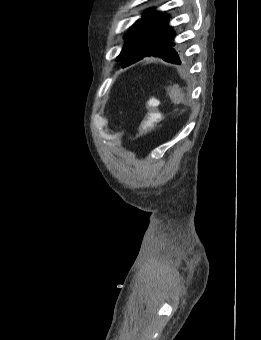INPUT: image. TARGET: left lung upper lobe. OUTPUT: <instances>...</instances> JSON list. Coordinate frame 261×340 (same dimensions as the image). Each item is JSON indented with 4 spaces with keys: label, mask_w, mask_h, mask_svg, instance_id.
Masks as SVG:
<instances>
[{
    "label": "left lung upper lobe",
    "mask_w": 261,
    "mask_h": 340,
    "mask_svg": "<svg viewBox=\"0 0 261 340\" xmlns=\"http://www.w3.org/2000/svg\"><path fill=\"white\" fill-rule=\"evenodd\" d=\"M167 22L161 12L152 11L143 15L125 35L126 44L117 60L122 61L123 65L165 49H171L180 55V51L175 48L176 44L172 42L175 31Z\"/></svg>",
    "instance_id": "obj_1"
}]
</instances>
